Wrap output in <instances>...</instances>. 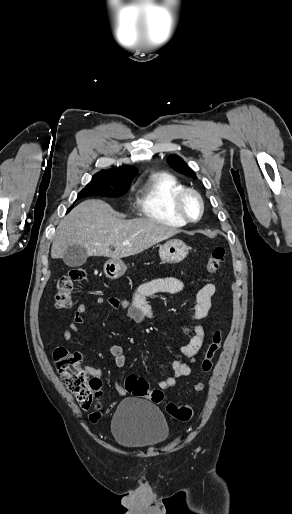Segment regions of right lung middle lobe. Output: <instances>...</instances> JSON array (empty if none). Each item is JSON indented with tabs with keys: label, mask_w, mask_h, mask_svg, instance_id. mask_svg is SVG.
<instances>
[{
	"label": "right lung middle lobe",
	"mask_w": 292,
	"mask_h": 514,
	"mask_svg": "<svg viewBox=\"0 0 292 514\" xmlns=\"http://www.w3.org/2000/svg\"><path fill=\"white\" fill-rule=\"evenodd\" d=\"M131 181L92 178V181L78 194L77 200L88 196H122L127 192Z\"/></svg>",
	"instance_id": "right-lung-middle-lobe-1"
}]
</instances>
